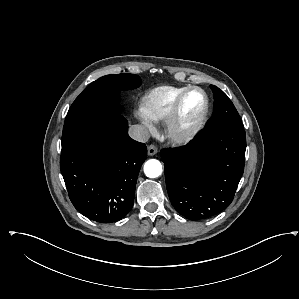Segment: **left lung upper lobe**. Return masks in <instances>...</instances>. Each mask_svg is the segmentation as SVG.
I'll return each mask as SVG.
<instances>
[{"mask_svg": "<svg viewBox=\"0 0 299 299\" xmlns=\"http://www.w3.org/2000/svg\"><path fill=\"white\" fill-rule=\"evenodd\" d=\"M214 93L213 114L206 128L214 126H236L243 128L239 114L227 95L214 85H210Z\"/></svg>", "mask_w": 299, "mask_h": 299, "instance_id": "obj_1", "label": "left lung upper lobe"}]
</instances>
